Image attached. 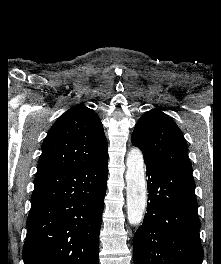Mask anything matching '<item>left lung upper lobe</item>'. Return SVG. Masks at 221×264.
I'll return each mask as SVG.
<instances>
[{"label": "left lung upper lobe", "mask_w": 221, "mask_h": 264, "mask_svg": "<svg viewBox=\"0 0 221 264\" xmlns=\"http://www.w3.org/2000/svg\"><path fill=\"white\" fill-rule=\"evenodd\" d=\"M144 160L192 174L188 146L176 123L159 109L144 113L131 136Z\"/></svg>", "instance_id": "obj_1"}]
</instances>
